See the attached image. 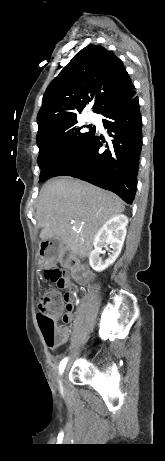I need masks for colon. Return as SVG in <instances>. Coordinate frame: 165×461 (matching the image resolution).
<instances>
[{
  "label": "colon",
  "instance_id": "colon-1",
  "mask_svg": "<svg viewBox=\"0 0 165 461\" xmlns=\"http://www.w3.org/2000/svg\"><path fill=\"white\" fill-rule=\"evenodd\" d=\"M56 249L55 243L45 241L41 245V264L44 268V274L47 280L55 285L45 295H43L38 304L37 320L46 344L55 347L59 342L60 335L56 327V318L61 313H67L69 309H64L61 291L67 289V280H63L62 272L56 266ZM74 263V262H72Z\"/></svg>",
  "mask_w": 165,
  "mask_h": 461
}]
</instances>
